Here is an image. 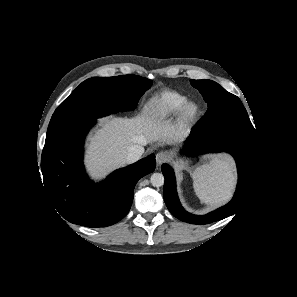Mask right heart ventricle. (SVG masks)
<instances>
[{"instance_id":"e07e8e85","label":"right heart ventricle","mask_w":297,"mask_h":297,"mask_svg":"<svg viewBox=\"0 0 297 297\" xmlns=\"http://www.w3.org/2000/svg\"><path fill=\"white\" fill-rule=\"evenodd\" d=\"M188 101V98L179 92L165 91L152 99L149 112L155 119L170 118L176 115Z\"/></svg>"}]
</instances>
